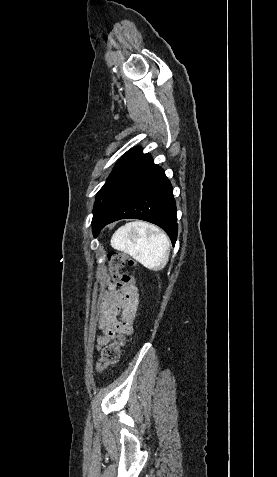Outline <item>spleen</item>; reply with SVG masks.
I'll use <instances>...</instances> for the list:
<instances>
[{"label": "spleen", "mask_w": 277, "mask_h": 477, "mask_svg": "<svg viewBox=\"0 0 277 477\" xmlns=\"http://www.w3.org/2000/svg\"><path fill=\"white\" fill-rule=\"evenodd\" d=\"M111 246L153 271L163 269L169 260L170 242L166 234L142 221L120 227L111 238Z\"/></svg>", "instance_id": "spleen-1"}]
</instances>
